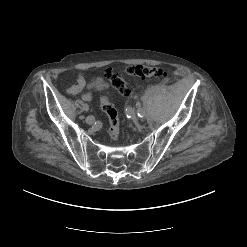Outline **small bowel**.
I'll return each instance as SVG.
<instances>
[{"label": "small bowel", "instance_id": "obj_1", "mask_svg": "<svg viewBox=\"0 0 247 247\" xmlns=\"http://www.w3.org/2000/svg\"><path fill=\"white\" fill-rule=\"evenodd\" d=\"M85 85H86V80H85L84 76H83L82 74H80V75H78V77H77L76 83L73 84V85H71V86L67 89V91H68V93H70V94H78V93H80V92L84 89ZM90 97H91V94H90L89 92H87V93H85V94L83 95V98H84L85 100H89Z\"/></svg>", "mask_w": 247, "mask_h": 247}]
</instances>
